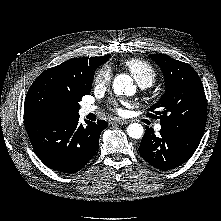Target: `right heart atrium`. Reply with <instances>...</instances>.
<instances>
[{
  "label": "right heart atrium",
  "instance_id": "1",
  "mask_svg": "<svg viewBox=\"0 0 221 221\" xmlns=\"http://www.w3.org/2000/svg\"><path fill=\"white\" fill-rule=\"evenodd\" d=\"M111 70L108 66L104 65L100 67L94 76V86L96 88H104L111 82Z\"/></svg>",
  "mask_w": 221,
  "mask_h": 221
}]
</instances>
